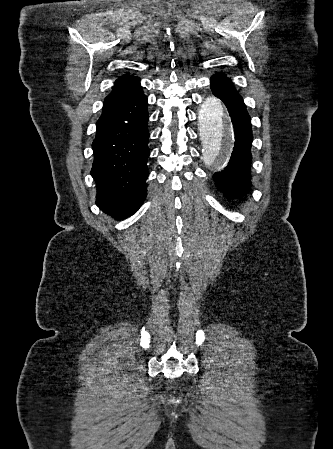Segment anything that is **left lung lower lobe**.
Returning <instances> with one entry per match:
<instances>
[{"label": "left lung lower lobe", "instance_id": "obj_1", "mask_svg": "<svg viewBox=\"0 0 333 449\" xmlns=\"http://www.w3.org/2000/svg\"><path fill=\"white\" fill-rule=\"evenodd\" d=\"M211 90L226 105L234 128L235 143L228 165L214 174L217 186L228 196H243L250 188V163L252 159L251 119L242 97L226 75L211 77Z\"/></svg>", "mask_w": 333, "mask_h": 449}]
</instances>
